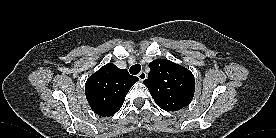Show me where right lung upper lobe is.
<instances>
[{"instance_id": "obj_1", "label": "right lung upper lobe", "mask_w": 276, "mask_h": 138, "mask_svg": "<svg viewBox=\"0 0 276 138\" xmlns=\"http://www.w3.org/2000/svg\"><path fill=\"white\" fill-rule=\"evenodd\" d=\"M138 78L108 63L92 74L86 81L85 94L92 110L98 115L112 116L123 105L129 89Z\"/></svg>"}]
</instances>
